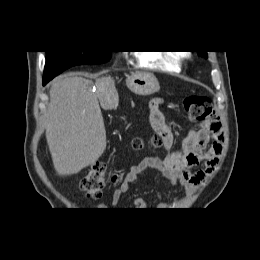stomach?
<instances>
[{
	"mask_svg": "<svg viewBox=\"0 0 260 260\" xmlns=\"http://www.w3.org/2000/svg\"><path fill=\"white\" fill-rule=\"evenodd\" d=\"M127 87L136 95L149 96L159 91L157 78L151 73H134L126 80Z\"/></svg>",
	"mask_w": 260,
	"mask_h": 260,
	"instance_id": "0dacf381",
	"label": "stomach"
}]
</instances>
